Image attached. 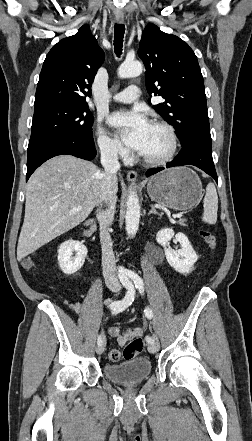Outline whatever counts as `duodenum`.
I'll use <instances>...</instances> for the list:
<instances>
[{
  "instance_id": "duodenum-1",
  "label": "duodenum",
  "mask_w": 252,
  "mask_h": 441,
  "mask_svg": "<svg viewBox=\"0 0 252 441\" xmlns=\"http://www.w3.org/2000/svg\"><path fill=\"white\" fill-rule=\"evenodd\" d=\"M95 229H96V226L94 224H91L88 226V228L86 230H84L83 234L90 235L95 231Z\"/></svg>"
}]
</instances>
